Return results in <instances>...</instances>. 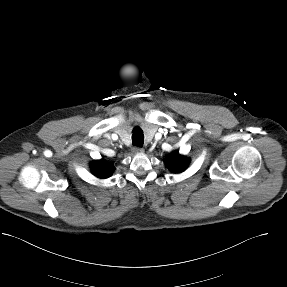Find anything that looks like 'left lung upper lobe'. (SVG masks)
I'll list each match as a JSON object with an SVG mask.
<instances>
[{
  "label": "left lung upper lobe",
  "mask_w": 287,
  "mask_h": 287,
  "mask_svg": "<svg viewBox=\"0 0 287 287\" xmlns=\"http://www.w3.org/2000/svg\"><path fill=\"white\" fill-rule=\"evenodd\" d=\"M166 167L173 173H180L184 171L190 163V159L182 156L179 152H172L165 158Z\"/></svg>",
  "instance_id": "obj_1"
}]
</instances>
